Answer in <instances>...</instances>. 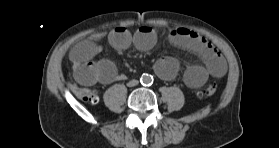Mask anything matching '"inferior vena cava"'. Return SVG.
Returning <instances> with one entry per match:
<instances>
[{
	"label": "inferior vena cava",
	"instance_id": "inferior-vena-cava-1",
	"mask_svg": "<svg viewBox=\"0 0 279 148\" xmlns=\"http://www.w3.org/2000/svg\"><path fill=\"white\" fill-rule=\"evenodd\" d=\"M138 83H139L138 80L133 79L127 85L129 87H132V86H136Z\"/></svg>",
	"mask_w": 279,
	"mask_h": 148
}]
</instances>
